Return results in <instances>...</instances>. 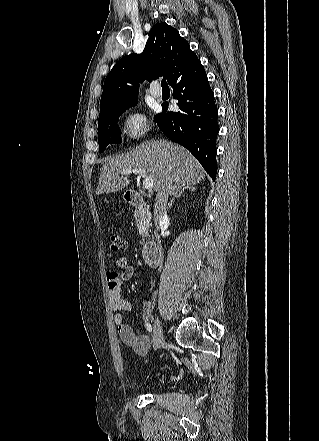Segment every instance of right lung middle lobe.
I'll list each match as a JSON object with an SVG mask.
<instances>
[{"label":"right lung middle lobe","instance_id":"right-lung-middle-lobe-1","mask_svg":"<svg viewBox=\"0 0 319 441\" xmlns=\"http://www.w3.org/2000/svg\"><path fill=\"white\" fill-rule=\"evenodd\" d=\"M136 104L137 101L100 110L98 121V141L100 152L104 151L109 144L121 143V131L118 127L119 117L128 107Z\"/></svg>","mask_w":319,"mask_h":441}]
</instances>
